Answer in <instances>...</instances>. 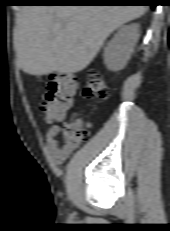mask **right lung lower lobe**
<instances>
[{
  "instance_id": "obj_1",
  "label": "right lung lower lobe",
  "mask_w": 170,
  "mask_h": 231,
  "mask_svg": "<svg viewBox=\"0 0 170 231\" xmlns=\"http://www.w3.org/2000/svg\"><path fill=\"white\" fill-rule=\"evenodd\" d=\"M158 0H27L28 5H149L157 6Z\"/></svg>"
}]
</instances>
